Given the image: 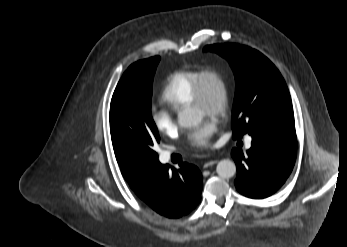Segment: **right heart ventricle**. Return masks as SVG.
<instances>
[{
    "mask_svg": "<svg viewBox=\"0 0 347 247\" xmlns=\"http://www.w3.org/2000/svg\"><path fill=\"white\" fill-rule=\"evenodd\" d=\"M200 71V69H182L170 74L162 87L161 100L173 109L190 105Z\"/></svg>",
    "mask_w": 347,
    "mask_h": 247,
    "instance_id": "1",
    "label": "right heart ventricle"
}]
</instances>
